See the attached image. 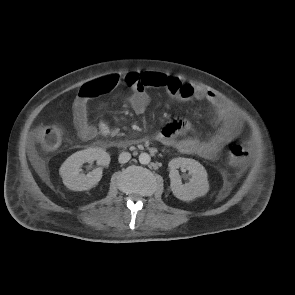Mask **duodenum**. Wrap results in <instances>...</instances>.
Returning a JSON list of instances; mask_svg holds the SVG:
<instances>
[{
	"label": "duodenum",
	"instance_id": "duodenum-1",
	"mask_svg": "<svg viewBox=\"0 0 295 295\" xmlns=\"http://www.w3.org/2000/svg\"><path fill=\"white\" fill-rule=\"evenodd\" d=\"M122 145H124V144L117 143V142L111 143V146H114V147H116V146H122Z\"/></svg>",
	"mask_w": 295,
	"mask_h": 295
}]
</instances>
